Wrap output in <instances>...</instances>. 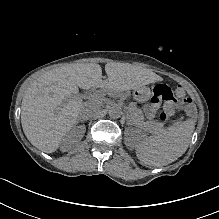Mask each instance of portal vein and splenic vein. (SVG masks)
<instances>
[{
  "label": "portal vein and splenic vein",
  "instance_id": "portal-vein-and-splenic-vein-1",
  "mask_svg": "<svg viewBox=\"0 0 219 219\" xmlns=\"http://www.w3.org/2000/svg\"><path fill=\"white\" fill-rule=\"evenodd\" d=\"M90 97H91V95H87V94L82 95V98H84V99H89Z\"/></svg>",
  "mask_w": 219,
  "mask_h": 219
}]
</instances>
